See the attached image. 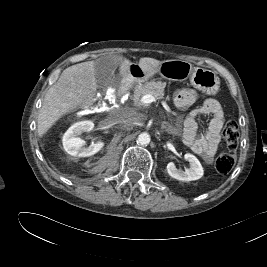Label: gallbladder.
I'll return each mask as SVG.
<instances>
[{
	"label": "gallbladder",
	"mask_w": 267,
	"mask_h": 267,
	"mask_svg": "<svg viewBox=\"0 0 267 267\" xmlns=\"http://www.w3.org/2000/svg\"><path fill=\"white\" fill-rule=\"evenodd\" d=\"M115 65L114 58L102 57L98 59L96 64L97 79L101 87L108 86L110 80L106 81V77L111 74L113 67Z\"/></svg>",
	"instance_id": "gallbladder-1"
}]
</instances>
